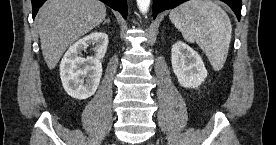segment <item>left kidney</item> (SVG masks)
Here are the masks:
<instances>
[{"instance_id": "1", "label": "left kidney", "mask_w": 276, "mask_h": 145, "mask_svg": "<svg viewBox=\"0 0 276 145\" xmlns=\"http://www.w3.org/2000/svg\"><path fill=\"white\" fill-rule=\"evenodd\" d=\"M171 63L178 82L184 88H197L207 77L200 55L182 41L172 46Z\"/></svg>"}]
</instances>
